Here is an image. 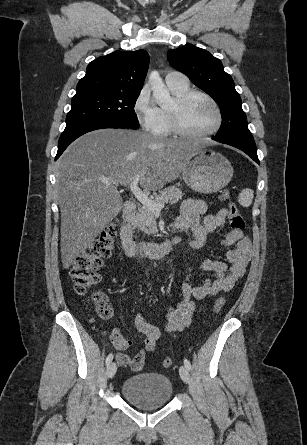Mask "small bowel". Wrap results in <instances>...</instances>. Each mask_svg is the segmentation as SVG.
<instances>
[{"instance_id":"1","label":"small bowel","mask_w":307,"mask_h":445,"mask_svg":"<svg viewBox=\"0 0 307 445\" xmlns=\"http://www.w3.org/2000/svg\"><path fill=\"white\" fill-rule=\"evenodd\" d=\"M228 216L229 210L226 208L208 214L207 205L203 201L186 199L182 203L174 228L188 235L187 242L191 248L200 250L206 245L208 236L221 228ZM220 244L228 248L227 262L211 259L199 261V267L212 272L214 278H206L199 285H195L191 275L186 277L182 283V299L164 308V317L167 320L166 332L183 331L191 323L196 302L216 296L220 292L230 291L244 276L252 254L250 239L242 231L233 229L222 237ZM134 324L137 331L144 336L142 347L135 355L130 356L125 351L130 347L131 341L124 339L122 345H115L120 351L116 355V360L121 366L128 365L133 371H140L144 366L146 354L155 350L160 331L156 326L146 322L140 314L135 317Z\"/></svg>"}]
</instances>
